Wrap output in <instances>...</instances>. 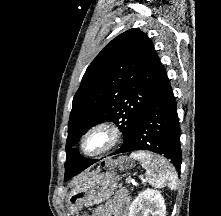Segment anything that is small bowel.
Returning <instances> with one entry per match:
<instances>
[{"label":"small bowel","instance_id":"c3829d8e","mask_svg":"<svg viewBox=\"0 0 221 216\" xmlns=\"http://www.w3.org/2000/svg\"><path fill=\"white\" fill-rule=\"evenodd\" d=\"M129 201L127 192L125 190L119 191L112 200L97 207L91 216H126Z\"/></svg>","mask_w":221,"mask_h":216}]
</instances>
